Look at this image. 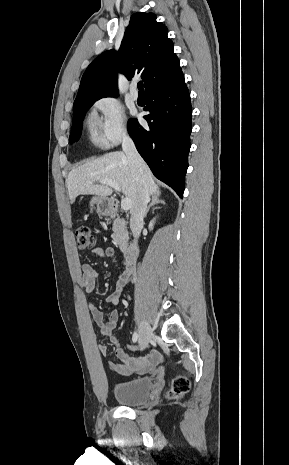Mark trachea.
<instances>
[{"mask_svg": "<svg viewBox=\"0 0 289 465\" xmlns=\"http://www.w3.org/2000/svg\"><path fill=\"white\" fill-rule=\"evenodd\" d=\"M137 87H138V89H139L140 92H143V91H144V90H143V82H142V81L138 82Z\"/></svg>", "mask_w": 289, "mask_h": 465, "instance_id": "obj_1", "label": "trachea"}]
</instances>
